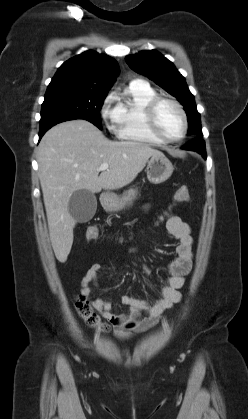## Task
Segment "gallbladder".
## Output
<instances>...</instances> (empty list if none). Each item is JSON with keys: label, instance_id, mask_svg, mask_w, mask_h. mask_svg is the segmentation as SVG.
I'll list each match as a JSON object with an SVG mask.
<instances>
[{"label": "gallbladder", "instance_id": "1", "mask_svg": "<svg viewBox=\"0 0 248 419\" xmlns=\"http://www.w3.org/2000/svg\"><path fill=\"white\" fill-rule=\"evenodd\" d=\"M96 209V196L89 190L81 189L75 191L69 200L68 211L79 223H85L91 220Z\"/></svg>", "mask_w": 248, "mask_h": 419}]
</instances>
